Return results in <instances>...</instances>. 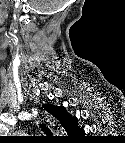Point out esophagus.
I'll return each instance as SVG.
<instances>
[{
	"label": "esophagus",
	"mask_w": 125,
	"mask_h": 143,
	"mask_svg": "<svg viewBox=\"0 0 125 143\" xmlns=\"http://www.w3.org/2000/svg\"><path fill=\"white\" fill-rule=\"evenodd\" d=\"M47 121L51 124L54 125L55 123V119L51 116V115H47Z\"/></svg>",
	"instance_id": "obj_1"
}]
</instances>
